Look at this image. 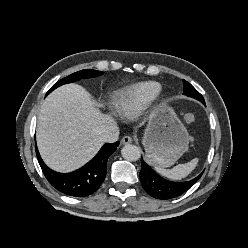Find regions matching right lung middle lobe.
<instances>
[{
	"mask_svg": "<svg viewBox=\"0 0 248 248\" xmlns=\"http://www.w3.org/2000/svg\"><path fill=\"white\" fill-rule=\"evenodd\" d=\"M102 74H103V72L97 71V70H92V69H85V70L75 72V73L69 75L68 77H65V78L61 79L60 81L56 82L50 88V90L47 92V94H49L51 91H53L54 89H56L57 87H59L63 84L71 83V82H74V81H77L80 79H84V78L97 77V76H100Z\"/></svg>",
	"mask_w": 248,
	"mask_h": 248,
	"instance_id": "obj_1",
	"label": "right lung middle lobe"
}]
</instances>
